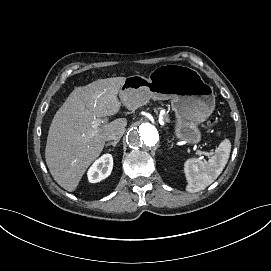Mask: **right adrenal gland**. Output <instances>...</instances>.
<instances>
[{
    "instance_id": "2a0ac1e0",
    "label": "right adrenal gland",
    "mask_w": 271,
    "mask_h": 271,
    "mask_svg": "<svg viewBox=\"0 0 271 271\" xmlns=\"http://www.w3.org/2000/svg\"><path fill=\"white\" fill-rule=\"evenodd\" d=\"M117 143H118V141H113V142H109V143L105 144V146L107 147V146L112 145L113 147H115Z\"/></svg>"
}]
</instances>
